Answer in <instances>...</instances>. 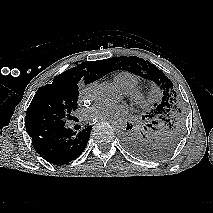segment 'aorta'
<instances>
[{
  "instance_id": "762f6f07",
  "label": "aorta",
  "mask_w": 213,
  "mask_h": 213,
  "mask_svg": "<svg viewBox=\"0 0 213 213\" xmlns=\"http://www.w3.org/2000/svg\"><path fill=\"white\" fill-rule=\"evenodd\" d=\"M94 97L101 103L113 104L119 101L120 93L112 85L101 84L96 88ZM112 125L113 128L117 131H124L126 130L127 122L123 119H116L113 121Z\"/></svg>"
}]
</instances>
